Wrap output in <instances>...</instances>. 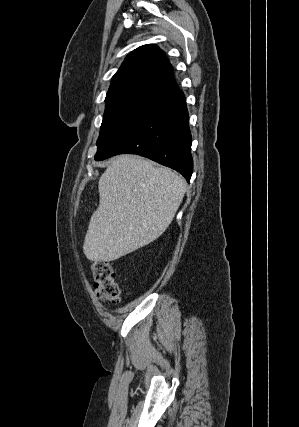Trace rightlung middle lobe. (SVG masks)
Here are the masks:
<instances>
[{
  "mask_svg": "<svg viewBox=\"0 0 299 427\" xmlns=\"http://www.w3.org/2000/svg\"><path fill=\"white\" fill-rule=\"evenodd\" d=\"M105 102V113L97 140V153L112 145L154 104L151 100L133 97L115 98Z\"/></svg>",
  "mask_w": 299,
  "mask_h": 427,
  "instance_id": "obj_1",
  "label": "right lung middle lobe"
}]
</instances>
